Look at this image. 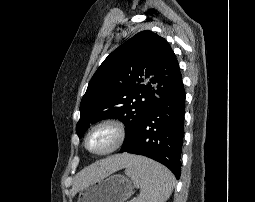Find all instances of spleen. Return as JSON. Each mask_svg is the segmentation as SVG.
I'll list each match as a JSON object with an SVG mask.
<instances>
[{
	"label": "spleen",
	"instance_id": "spleen-1",
	"mask_svg": "<svg viewBox=\"0 0 255 202\" xmlns=\"http://www.w3.org/2000/svg\"><path fill=\"white\" fill-rule=\"evenodd\" d=\"M125 174L140 188L134 202H165L175 186V177L166 167L145 157H136Z\"/></svg>",
	"mask_w": 255,
	"mask_h": 202
}]
</instances>
